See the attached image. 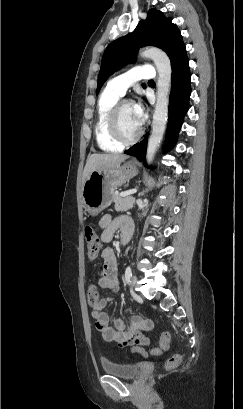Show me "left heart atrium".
I'll list each match as a JSON object with an SVG mask.
<instances>
[{"instance_id":"39dd6f15","label":"left heart atrium","mask_w":243,"mask_h":409,"mask_svg":"<svg viewBox=\"0 0 243 409\" xmlns=\"http://www.w3.org/2000/svg\"><path fill=\"white\" fill-rule=\"evenodd\" d=\"M133 112L136 117L138 124L141 126L146 119V112L142 103L133 104Z\"/></svg>"}]
</instances>
